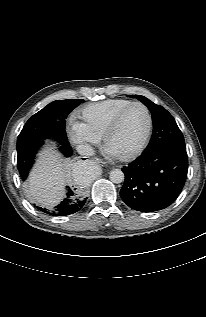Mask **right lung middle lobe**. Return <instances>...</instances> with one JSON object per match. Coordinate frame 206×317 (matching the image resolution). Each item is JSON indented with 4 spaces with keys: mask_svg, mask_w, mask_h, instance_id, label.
Segmentation results:
<instances>
[{
    "mask_svg": "<svg viewBox=\"0 0 206 317\" xmlns=\"http://www.w3.org/2000/svg\"><path fill=\"white\" fill-rule=\"evenodd\" d=\"M83 100L53 101L34 114L17 138V164L21 179L27 178L37 150L45 138L55 137L60 143L67 142L65 119Z\"/></svg>",
    "mask_w": 206,
    "mask_h": 317,
    "instance_id": "dd1d6c3e",
    "label": "right lung middle lobe"
}]
</instances>
